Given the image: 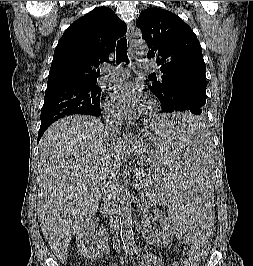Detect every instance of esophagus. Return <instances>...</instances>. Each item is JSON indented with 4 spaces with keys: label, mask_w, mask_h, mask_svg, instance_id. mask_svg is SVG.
Returning <instances> with one entry per match:
<instances>
[{
    "label": "esophagus",
    "mask_w": 253,
    "mask_h": 266,
    "mask_svg": "<svg viewBox=\"0 0 253 266\" xmlns=\"http://www.w3.org/2000/svg\"><path fill=\"white\" fill-rule=\"evenodd\" d=\"M133 35H134V26L132 23H129L127 26V33H126V36L129 42H131ZM133 141H135V135L131 132L126 133L124 136V142L126 144H131L133 143Z\"/></svg>",
    "instance_id": "esophagus-1"
}]
</instances>
